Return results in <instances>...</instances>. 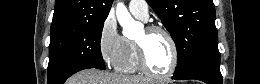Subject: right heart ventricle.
I'll use <instances>...</instances> for the list:
<instances>
[{"instance_id": "e07e8e85", "label": "right heart ventricle", "mask_w": 260, "mask_h": 84, "mask_svg": "<svg viewBox=\"0 0 260 84\" xmlns=\"http://www.w3.org/2000/svg\"><path fill=\"white\" fill-rule=\"evenodd\" d=\"M116 71L124 74L140 72L135 41L123 37L122 55L115 65Z\"/></svg>"}]
</instances>
